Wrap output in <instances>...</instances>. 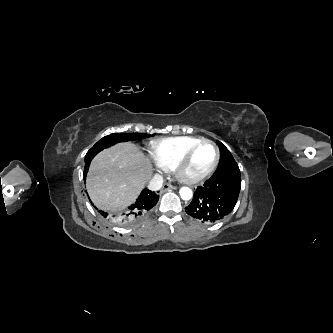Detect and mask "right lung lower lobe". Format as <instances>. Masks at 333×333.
Returning <instances> with one entry per match:
<instances>
[{
  "label": "right lung lower lobe",
  "mask_w": 333,
  "mask_h": 333,
  "mask_svg": "<svg viewBox=\"0 0 333 333\" xmlns=\"http://www.w3.org/2000/svg\"><path fill=\"white\" fill-rule=\"evenodd\" d=\"M95 155H90L88 152L85 156V168H84V182L86 179V174L88 172V168L90 165L91 160ZM159 199V195L155 192H152L148 189H144L140 196L138 197L137 201L129 207V210L124 214L123 217L118 219V223L120 224H127L129 221L133 220L134 218L146 214L151 208H153ZM98 212L104 218H109L107 212L98 210Z\"/></svg>",
  "instance_id": "right-lung-lower-lobe-1"
}]
</instances>
